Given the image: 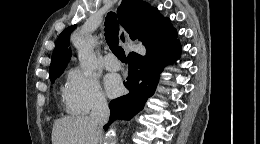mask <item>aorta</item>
I'll list each match as a JSON object with an SVG mask.
<instances>
[{
    "label": "aorta",
    "mask_w": 260,
    "mask_h": 144,
    "mask_svg": "<svg viewBox=\"0 0 260 144\" xmlns=\"http://www.w3.org/2000/svg\"><path fill=\"white\" fill-rule=\"evenodd\" d=\"M95 44L96 40L92 35H78L75 40L80 66L87 75H91L96 67V58L93 54Z\"/></svg>",
    "instance_id": "762f6f07"
}]
</instances>
